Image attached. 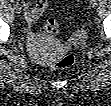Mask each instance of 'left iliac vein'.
Returning <instances> with one entry per match:
<instances>
[{
    "label": "left iliac vein",
    "instance_id": "1",
    "mask_svg": "<svg viewBox=\"0 0 111 106\" xmlns=\"http://www.w3.org/2000/svg\"><path fill=\"white\" fill-rule=\"evenodd\" d=\"M90 4H91L93 7H95V6L97 5V1H96V0H91V1H90Z\"/></svg>",
    "mask_w": 111,
    "mask_h": 106
}]
</instances>
